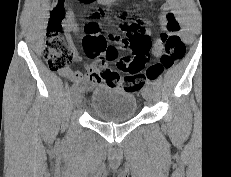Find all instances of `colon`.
<instances>
[{"label": "colon", "instance_id": "obj_1", "mask_svg": "<svg viewBox=\"0 0 231 177\" xmlns=\"http://www.w3.org/2000/svg\"><path fill=\"white\" fill-rule=\"evenodd\" d=\"M94 0H80L84 4H90ZM104 15L107 10H100ZM125 17V13H121ZM62 14L60 10L54 9L48 26L44 58L53 71H63L73 61L75 55L73 50L61 36ZM179 23L175 16L168 12L166 14V32L161 35L163 51L158 63L147 66L150 48V37L143 28L136 23L123 22L119 25L121 35H105L100 25L92 21L85 27L83 37V48L87 57L96 59L100 63L102 74L114 85H121L125 90L137 92L142 89L145 79L157 80L164 71L173 67L175 62L183 57L185 46L180 36L176 33ZM129 49L131 56H121L122 51ZM115 63L117 69L124 73L111 70L108 64Z\"/></svg>", "mask_w": 231, "mask_h": 177}]
</instances>
